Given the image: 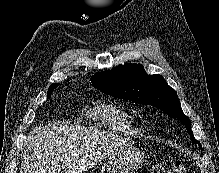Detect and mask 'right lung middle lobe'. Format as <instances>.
Returning a JSON list of instances; mask_svg holds the SVG:
<instances>
[{"instance_id": "1", "label": "right lung middle lobe", "mask_w": 219, "mask_h": 173, "mask_svg": "<svg viewBox=\"0 0 219 173\" xmlns=\"http://www.w3.org/2000/svg\"><path fill=\"white\" fill-rule=\"evenodd\" d=\"M57 86H58V85H54V86H50V87H49L48 92H47V98H49V97L51 96V93H52L53 89H54L55 87H57Z\"/></svg>"}]
</instances>
